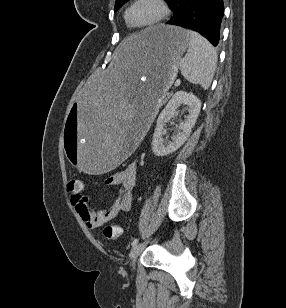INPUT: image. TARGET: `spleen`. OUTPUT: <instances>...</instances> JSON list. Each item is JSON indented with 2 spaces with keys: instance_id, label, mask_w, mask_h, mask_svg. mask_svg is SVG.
<instances>
[{
  "instance_id": "3e777b00",
  "label": "spleen",
  "mask_w": 286,
  "mask_h": 308,
  "mask_svg": "<svg viewBox=\"0 0 286 308\" xmlns=\"http://www.w3.org/2000/svg\"><path fill=\"white\" fill-rule=\"evenodd\" d=\"M186 33L190 38L189 50L180 61V71L189 82L208 89L215 73L217 53L199 33L190 30Z\"/></svg>"
}]
</instances>
